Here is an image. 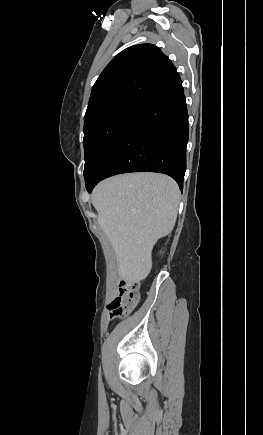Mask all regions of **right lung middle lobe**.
<instances>
[{"label": "right lung middle lobe", "mask_w": 263, "mask_h": 435, "mask_svg": "<svg viewBox=\"0 0 263 435\" xmlns=\"http://www.w3.org/2000/svg\"><path fill=\"white\" fill-rule=\"evenodd\" d=\"M143 104L123 100L101 105L84 119L85 181L95 174Z\"/></svg>", "instance_id": "obj_1"}]
</instances>
